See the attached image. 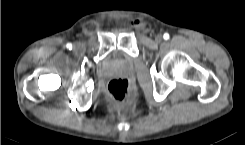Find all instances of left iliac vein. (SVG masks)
<instances>
[{"mask_svg":"<svg viewBox=\"0 0 245 145\" xmlns=\"http://www.w3.org/2000/svg\"><path fill=\"white\" fill-rule=\"evenodd\" d=\"M162 39H163L162 35H157L155 38L156 42H161Z\"/></svg>","mask_w":245,"mask_h":145,"instance_id":"1","label":"left iliac vein"}]
</instances>
